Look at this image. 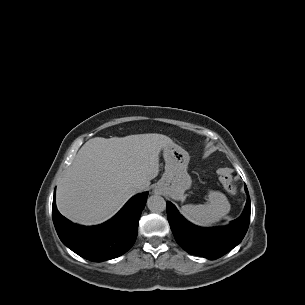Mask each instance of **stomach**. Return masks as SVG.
I'll list each match as a JSON object with an SVG mask.
<instances>
[{
    "label": "stomach",
    "instance_id": "stomach-1",
    "mask_svg": "<svg viewBox=\"0 0 305 305\" xmlns=\"http://www.w3.org/2000/svg\"><path fill=\"white\" fill-rule=\"evenodd\" d=\"M165 172L155 186V191L174 200H184L185 191L191 187V177L187 173L189 154L182 147L173 144L163 148Z\"/></svg>",
    "mask_w": 305,
    "mask_h": 305
}]
</instances>
